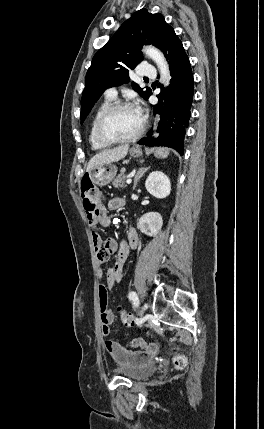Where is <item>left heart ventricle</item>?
Instances as JSON below:
<instances>
[{
  "label": "left heart ventricle",
  "instance_id": "left-heart-ventricle-1",
  "mask_svg": "<svg viewBox=\"0 0 264 429\" xmlns=\"http://www.w3.org/2000/svg\"><path fill=\"white\" fill-rule=\"evenodd\" d=\"M141 124V116L134 108H123L113 113L104 123L103 133L110 139L133 135Z\"/></svg>",
  "mask_w": 264,
  "mask_h": 429
}]
</instances>
